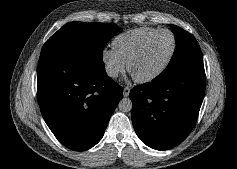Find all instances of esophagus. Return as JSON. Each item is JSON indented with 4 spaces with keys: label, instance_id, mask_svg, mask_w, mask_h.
<instances>
[{
    "label": "esophagus",
    "instance_id": "obj_1",
    "mask_svg": "<svg viewBox=\"0 0 237 169\" xmlns=\"http://www.w3.org/2000/svg\"><path fill=\"white\" fill-rule=\"evenodd\" d=\"M130 90H131L130 87L125 86L124 89H123V96L127 97L129 95V93H130Z\"/></svg>",
    "mask_w": 237,
    "mask_h": 169
}]
</instances>
